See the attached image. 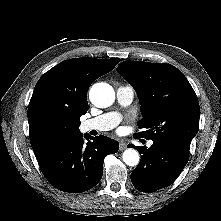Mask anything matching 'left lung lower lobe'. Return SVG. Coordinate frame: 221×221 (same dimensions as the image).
Segmentation results:
<instances>
[{"label": "left lung lower lobe", "mask_w": 221, "mask_h": 221, "mask_svg": "<svg viewBox=\"0 0 221 221\" xmlns=\"http://www.w3.org/2000/svg\"><path fill=\"white\" fill-rule=\"evenodd\" d=\"M128 146L134 148L132 144ZM136 148L141 160L131 173V181L141 192H154L171 185L188 162L189 154L162 141H153L150 148Z\"/></svg>", "instance_id": "1"}]
</instances>
